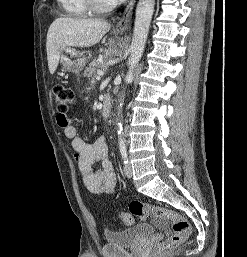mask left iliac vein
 I'll list each match as a JSON object with an SVG mask.
<instances>
[{
	"label": "left iliac vein",
	"instance_id": "4c4485c4",
	"mask_svg": "<svg viewBox=\"0 0 247 257\" xmlns=\"http://www.w3.org/2000/svg\"><path fill=\"white\" fill-rule=\"evenodd\" d=\"M124 174L126 177L128 178H131L132 175H133V170H132V166L130 163H127L125 166H124Z\"/></svg>",
	"mask_w": 247,
	"mask_h": 257
}]
</instances>
